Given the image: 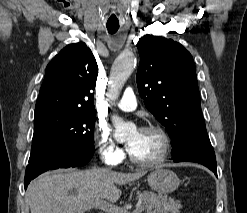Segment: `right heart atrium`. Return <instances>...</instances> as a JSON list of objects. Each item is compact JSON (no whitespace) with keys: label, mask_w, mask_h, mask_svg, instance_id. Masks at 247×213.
I'll use <instances>...</instances> for the list:
<instances>
[{"label":"right heart atrium","mask_w":247,"mask_h":213,"mask_svg":"<svg viewBox=\"0 0 247 213\" xmlns=\"http://www.w3.org/2000/svg\"><path fill=\"white\" fill-rule=\"evenodd\" d=\"M94 141L98 154L108 165L115 166L124 160V151L116 144L106 125L98 124L96 126L94 131Z\"/></svg>","instance_id":"right-heart-atrium-1"}]
</instances>
